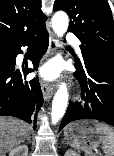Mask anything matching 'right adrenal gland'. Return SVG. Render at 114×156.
Instances as JSON below:
<instances>
[{"label":"right adrenal gland","mask_w":114,"mask_h":156,"mask_svg":"<svg viewBox=\"0 0 114 156\" xmlns=\"http://www.w3.org/2000/svg\"><path fill=\"white\" fill-rule=\"evenodd\" d=\"M27 141L30 143V137L27 138Z\"/></svg>","instance_id":"obj_1"}]
</instances>
